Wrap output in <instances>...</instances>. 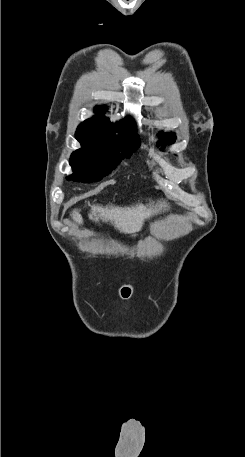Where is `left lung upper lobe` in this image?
<instances>
[{"label": "left lung upper lobe", "mask_w": 245, "mask_h": 457, "mask_svg": "<svg viewBox=\"0 0 245 457\" xmlns=\"http://www.w3.org/2000/svg\"><path fill=\"white\" fill-rule=\"evenodd\" d=\"M160 136H161V141L159 142V144H161V145L172 144L176 140L175 134H172V133L160 134Z\"/></svg>", "instance_id": "obj_1"}]
</instances>
